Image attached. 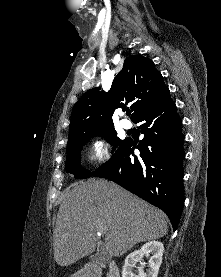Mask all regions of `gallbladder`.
Returning a JSON list of instances; mask_svg holds the SVG:
<instances>
[{"label":"gallbladder","instance_id":"bac80fb5","mask_svg":"<svg viewBox=\"0 0 221 277\" xmlns=\"http://www.w3.org/2000/svg\"><path fill=\"white\" fill-rule=\"evenodd\" d=\"M93 260H98V261H101V262H107V261H109V257L104 256L100 253H97L93 256Z\"/></svg>","mask_w":221,"mask_h":277}]
</instances>
